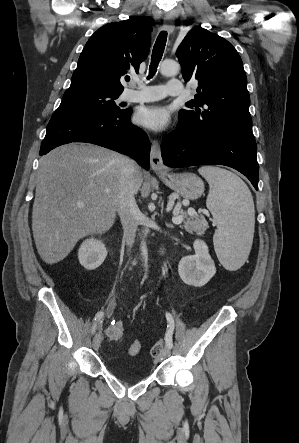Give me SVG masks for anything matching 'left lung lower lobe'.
Here are the masks:
<instances>
[{"label": "left lung lower lobe", "mask_w": 299, "mask_h": 443, "mask_svg": "<svg viewBox=\"0 0 299 443\" xmlns=\"http://www.w3.org/2000/svg\"><path fill=\"white\" fill-rule=\"evenodd\" d=\"M253 133L221 131L204 133L187 127L182 121L176 131L161 144L164 164L187 167L220 164L244 174L258 190V163Z\"/></svg>", "instance_id": "left-lung-lower-lobe-1"}]
</instances>
